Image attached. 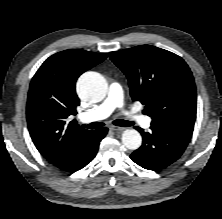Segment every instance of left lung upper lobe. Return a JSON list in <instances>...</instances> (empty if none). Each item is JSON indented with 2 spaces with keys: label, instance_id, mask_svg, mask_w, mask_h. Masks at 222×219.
Masks as SVG:
<instances>
[{
  "label": "left lung upper lobe",
  "instance_id": "obj_1",
  "mask_svg": "<svg viewBox=\"0 0 222 219\" xmlns=\"http://www.w3.org/2000/svg\"><path fill=\"white\" fill-rule=\"evenodd\" d=\"M127 76L134 101L145 105L151 126L191 139L196 118L193 75L178 55L151 45L110 52Z\"/></svg>",
  "mask_w": 222,
  "mask_h": 219
}]
</instances>
